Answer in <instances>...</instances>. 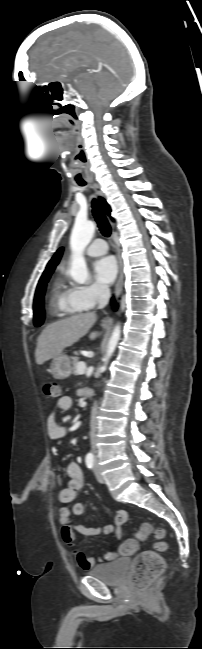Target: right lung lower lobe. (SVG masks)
Returning <instances> with one entry per match:
<instances>
[{
	"label": "right lung lower lobe",
	"instance_id": "right-lung-lower-lobe-1",
	"mask_svg": "<svg viewBox=\"0 0 202 649\" xmlns=\"http://www.w3.org/2000/svg\"><path fill=\"white\" fill-rule=\"evenodd\" d=\"M112 303H113V307L116 309V308H117V305H116V303H115L114 298H112Z\"/></svg>",
	"mask_w": 202,
	"mask_h": 649
}]
</instances>
